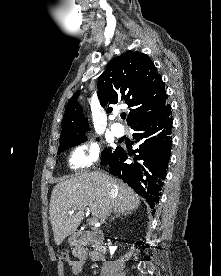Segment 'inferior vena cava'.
Segmentation results:
<instances>
[{
	"mask_svg": "<svg viewBox=\"0 0 221 276\" xmlns=\"http://www.w3.org/2000/svg\"><path fill=\"white\" fill-rule=\"evenodd\" d=\"M111 212H112V207H110V208L108 209L105 218H107L108 216H110V215H111Z\"/></svg>",
	"mask_w": 221,
	"mask_h": 276,
	"instance_id": "1",
	"label": "inferior vena cava"
}]
</instances>
